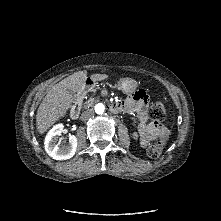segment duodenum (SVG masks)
Wrapping results in <instances>:
<instances>
[{
    "instance_id": "1",
    "label": "duodenum",
    "mask_w": 221,
    "mask_h": 221,
    "mask_svg": "<svg viewBox=\"0 0 221 221\" xmlns=\"http://www.w3.org/2000/svg\"><path fill=\"white\" fill-rule=\"evenodd\" d=\"M91 86H92V81L87 80L84 82L83 89L79 93L71 109V117L73 119H77L79 117L81 109H82V103H83L85 91ZM110 111L114 114L120 113V112L126 111V106L120 102L112 103L110 105Z\"/></svg>"
}]
</instances>
